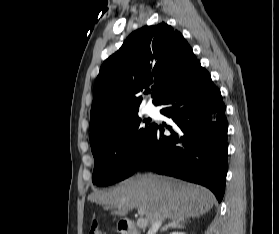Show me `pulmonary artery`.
<instances>
[{"label": "pulmonary artery", "instance_id": "obj_1", "mask_svg": "<svg viewBox=\"0 0 279 234\" xmlns=\"http://www.w3.org/2000/svg\"><path fill=\"white\" fill-rule=\"evenodd\" d=\"M145 109L149 115H154L157 112L156 108L152 104H148Z\"/></svg>", "mask_w": 279, "mask_h": 234}]
</instances>
